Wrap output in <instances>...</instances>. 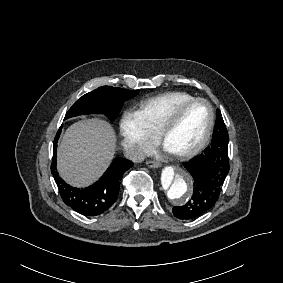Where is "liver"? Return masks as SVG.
Segmentation results:
<instances>
[{
	"instance_id": "1",
	"label": "liver",
	"mask_w": 283,
	"mask_h": 283,
	"mask_svg": "<svg viewBox=\"0 0 283 283\" xmlns=\"http://www.w3.org/2000/svg\"><path fill=\"white\" fill-rule=\"evenodd\" d=\"M116 141L113 127L105 120L92 118L72 124L57 150L59 175L74 187L93 184L110 166Z\"/></svg>"
}]
</instances>
